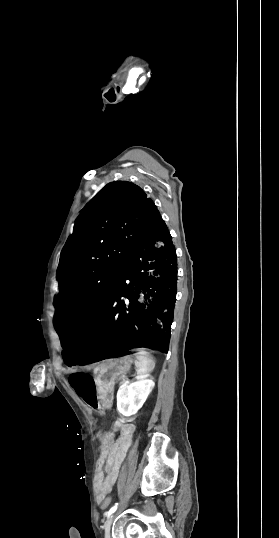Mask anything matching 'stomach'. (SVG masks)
Instances as JSON below:
<instances>
[{
    "instance_id": "0dacf381",
    "label": "stomach",
    "mask_w": 279,
    "mask_h": 538,
    "mask_svg": "<svg viewBox=\"0 0 279 538\" xmlns=\"http://www.w3.org/2000/svg\"><path fill=\"white\" fill-rule=\"evenodd\" d=\"M130 366L131 360L128 353H117L115 358H103L101 363H97L95 376L99 382L98 389L102 408L110 407L112 382H119L120 374H125L126 369H129Z\"/></svg>"
}]
</instances>
